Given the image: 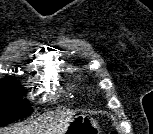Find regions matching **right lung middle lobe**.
I'll list each match as a JSON object with an SVG mask.
<instances>
[{
  "mask_svg": "<svg viewBox=\"0 0 153 134\" xmlns=\"http://www.w3.org/2000/svg\"><path fill=\"white\" fill-rule=\"evenodd\" d=\"M25 90L18 86L17 81L2 80L0 90V126L24 118L32 113L27 99H23Z\"/></svg>",
  "mask_w": 153,
  "mask_h": 134,
  "instance_id": "1",
  "label": "right lung middle lobe"
}]
</instances>
